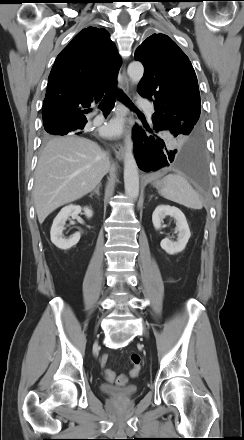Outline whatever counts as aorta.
<instances>
[{
  "label": "aorta",
  "instance_id": "762f6f07",
  "mask_svg": "<svg viewBox=\"0 0 244 440\" xmlns=\"http://www.w3.org/2000/svg\"><path fill=\"white\" fill-rule=\"evenodd\" d=\"M127 73L134 84H138L143 77L144 67L140 62L134 61L129 64ZM124 186L125 193L131 199H137L139 195V173L137 163L133 153V141L131 128L127 131L124 140Z\"/></svg>",
  "mask_w": 244,
  "mask_h": 440
}]
</instances>
